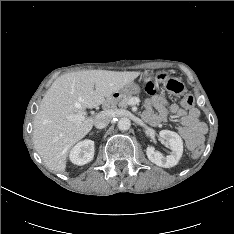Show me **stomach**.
<instances>
[{"label": "stomach", "instance_id": "stomach-1", "mask_svg": "<svg viewBox=\"0 0 234 234\" xmlns=\"http://www.w3.org/2000/svg\"><path fill=\"white\" fill-rule=\"evenodd\" d=\"M147 75L148 73H145L144 76H143V79L148 81L150 79V77L147 78ZM158 77L161 79V80H166L169 78V75L167 72L165 71H162V72H159L158 73ZM140 87L137 83H135L134 81H131L129 83H127L126 85H124L122 88H120L117 92L119 97L121 98L122 96H126V95H133V94H137L140 92Z\"/></svg>", "mask_w": 234, "mask_h": 234}]
</instances>
